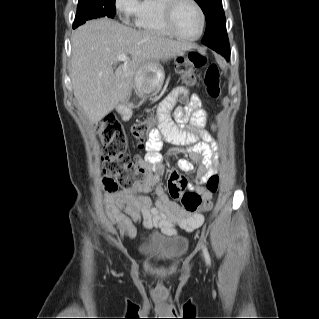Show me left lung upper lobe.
Here are the masks:
<instances>
[{"label": "left lung upper lobe", "mask_w": 319, "mask_h": 319, "mask_svg": "<svg viewBox=\"0 0 319 319\" xmlns=\"http://www.w3.org/2000/svg\"><path fill=\"white\" fill-rule=\"evenodd\" d=\"M206 16V30L202 43L222 54L229 49L226 19L222 0H195Z\"/></svg>", "instance_id": "left-lung-upper-lobe-1"}]
</instances>
